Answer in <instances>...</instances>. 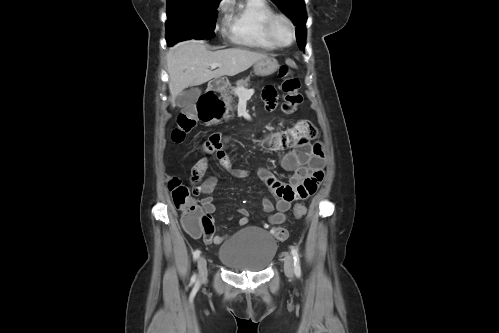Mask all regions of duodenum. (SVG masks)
<instances>
[{
  "mask_svg": "<svg viewBox=\"0 0 499 333\" xmlns=\"http://www.w3.org/2000/svg\"><path fill=\"white\" fill-rule=\"evenodd\" d=\"M220 86H221L220 81H217V80L212 81L208 86L207 93L205 94V97H208L211 95L216 97V92ZM200 111L202 113L206 114L208 116V119H212L215 116H218L221 114V109L219 107H210V106H207L206 104H202L200 106Z\"/></svg>",
  "mask_w": 499,
  "mask_h": 333,
  "instance_id": "1",
  "label": "duodenum"
}]
</instances>
